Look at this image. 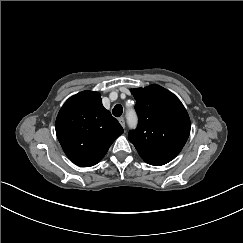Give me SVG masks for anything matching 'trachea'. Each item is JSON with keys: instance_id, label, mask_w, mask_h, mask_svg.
<instances>
[{"instance_id": "1", "label": "trachea", "mask_w": 243, "mask_h": 243, "mask_svg": "<svg viewBox=\"0 0 243 243\" xmlns=\"http://www.w3.org/2000/svg\"><path fill=\"white\" fill-rule=\"evenodd\" d=\"M112 113L115 117H120L123 113V107L120 104L115 105V107L112 110Z\"/></svg>"}]
</instances>
